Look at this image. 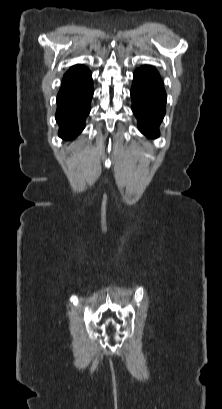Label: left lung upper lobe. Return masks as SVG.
I'll return each instance as SVG.
<instances>
[{"instance_id":"obj_1","label":"left lung upper lobe","mask_w":222,"mask_h":409,"mask_svg":"<svg viewBox=\"0 0 222 409\" xmlns=\"http://www.w3.org/2000/svg\"><path fill=\"white\" fill-rule=\"evenodd\" d=\"M142 69L149 70V71L157 73V71L154 68L149 67V66H144V67H142Z\"/></svg>"}]
</instances>
